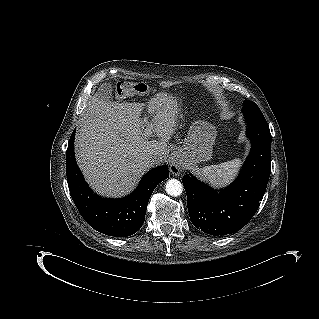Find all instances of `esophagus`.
<instances>
[{
    "instance_id": "34e87169",
    "label": "esophagus",
    "mask_w": 319,
    "mask_h": 319,
    "mask_svg": "<svg viewBox=\"0 0 319 319\" xmlns=\"http://www.w3.org/2000/svg\"><path fill=\"white\" fill-rule=\"evenodd\" d=\"M183 169V165L182 163L177 159L174 160L170 166V171L174 174V175H178L180 174V172Z\"/></svg>"
}]
</instances>
